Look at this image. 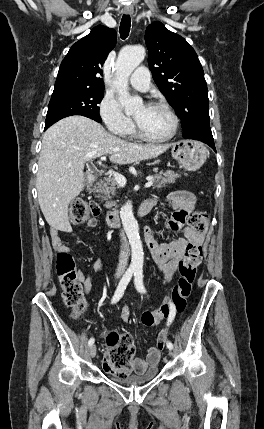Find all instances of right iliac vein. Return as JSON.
Returning a JSON list of instances; mask_svg holds the SVG:
<instances>
[{"instance_id": "obj_1", "label": "right iliac vein", "mask_w": 264, "mask_h": 429, "mask_svg": "<svg viewBox=\"0 0 264 429\" xmlns=\"http://www.w3.org/2000/svg\"><path fill=\"white\" fill-rule=\"evenodd\" d=\"M120 276H121V274H120V273H117V274H116V280H118V279L120 278ZM89 354H90V356H91L92 358H94V357H95V355H96V346H95V345H91V346H90V348H89Z\"/></svg>"}]
</instances>
